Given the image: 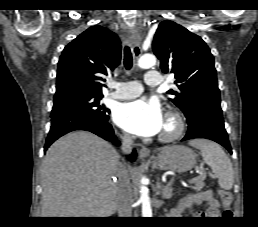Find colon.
Here are the masks:
<instances>
[{
	"mask_svg": "<svg viewBox=\"0 0 258 227\" xmlns=\"http://www.w3.org/2000/svg\"><path fill=\"white\" fill-rule=\"evenodd\" d=\"M219 195L223 204V216L226 218H229L232 216V211H231V204L233 200V196L231 192L227 190H219Z\"/></svg>",
	"mask_w": 258,
	"mask_h": 227,
	"instance_id": "obj_1",
	"label": "colon"
}]
</instances>
